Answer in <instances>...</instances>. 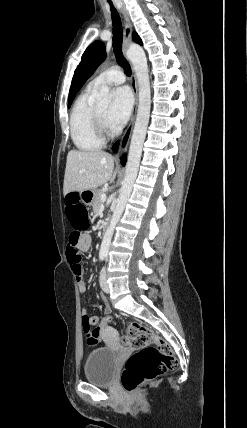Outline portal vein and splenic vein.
Segmentation results:
<instances>
[{"mask_svg":"<svg viewBox=\"0 0 247 428\" xmlns=\"http://www.w3.org/2000/svg\"><path fill=\"white\" fill-rule=\"evenodd\" d=\"M106 198H107L106 194H103V195L101 196V201H102V202H105V201H106Z\"/></svg>","mask_w":247,"mask_h":428,"instance_id":"obj_1","label":"portal vein and splenic vein"}]
</instances>
